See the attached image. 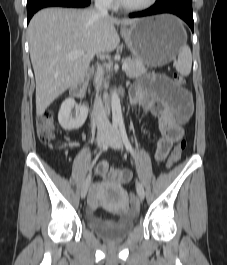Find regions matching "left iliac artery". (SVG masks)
<instances>
[{
	"instance_id": "left-iliac-artery-1",
	"label": "left iliac artery",
	"mask_w": 227,
	"mask_h": 265,
	"mask_svg": "<svg viewBox=\"0 0 227 265\" xmlns=\"http://www.w3.org/2000/svg\"><path fill=\"white\" fill-rule=\"evenodd\" d=\"M119 129H120V134L121 137L123 139V142L125 144L126 149L131 153V155L133 156V158L135 159V154H134V150L131 146V143L128 139L127 133H126V129H125V124L123 121L119 122Z\"/></svg>"
}]
</instances>
